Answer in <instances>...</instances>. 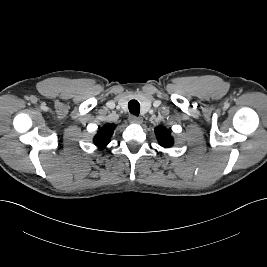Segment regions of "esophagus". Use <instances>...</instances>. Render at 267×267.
<instances>
[{"instance_id": "esophagus-1", "label": "esophagus", "mask_w": 267, "mask_h": 267, "mask_svg": "<svg viewBox=\"0 0 267 267\" xmlns=\"http://www.w3.org/2000/svg\"><path fill=\"white\" fill-rule=\"evenodd\" d=\"M129 121H130L131 123H133V124H141V123L143 122L142 118L137 117V116H135V115H131V116L129 117Z\"/></svg>"}]
</instances>
